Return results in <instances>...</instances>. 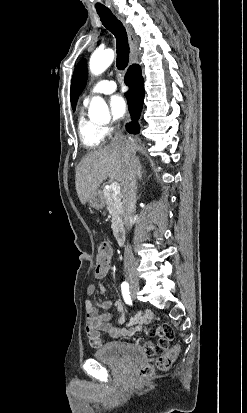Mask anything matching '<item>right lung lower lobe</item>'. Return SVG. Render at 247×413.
Masks as SVG:
<instances>
[{"mask_svg": "<svg viewBox=\"0 0 247 413\" xmlns=\"http://www.w3.org/2000/svg\"><path fill=\"white\" fill-rule=\"evenodd\" d=\"M124 81L129 87V91L126 92L125 96L128 101L132 119V122L126 125V130L129 133L137 134L139 133V124L137 123V120L140 116L144 100V82L141 70L126 74Z\"/></svg>", "mask_w": 247, "mask_h": 413, "instance_id": "1", "label": "right lung lower lobe"}]
</instances>
